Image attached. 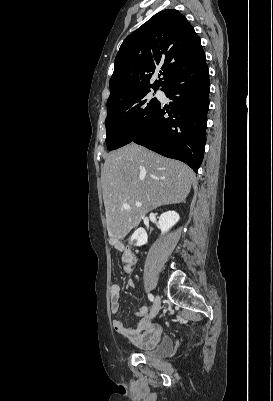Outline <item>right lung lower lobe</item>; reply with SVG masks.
<instances>
[{
	"label": "right lung lower lobe",
	"mask_w": 273,
	"mask_h": 401,
	"mask_svg": "<svg viewBox=\"0 0 273 401\" xmlns=\"http://www.w3.org/2000/svg\"><path fill=\"white\" fill-rule=\"evenodd\" d=\"M162 90L173 101L167 107L160 103L131 142L181 160L196 172L206 142L210 91L206 61L179 69ZM166 113L170 117L166 118Z\"/></svg>",
	"instance_id": "1"
}]
</instances>
